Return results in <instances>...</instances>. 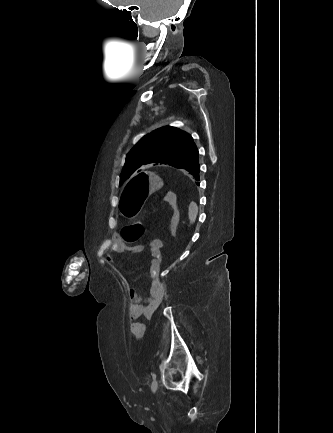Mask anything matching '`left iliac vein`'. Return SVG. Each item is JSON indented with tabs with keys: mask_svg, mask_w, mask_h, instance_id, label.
I'll use <instances>...</instances> for the list:
<instances>
[{
	"mask_svg": "<svg viewBox=\"0 0 333 433\" xmlns=\"http://www.w3.org/2000/svg\"><path fill=\"white\" fill-rule=\"evenodd\" d=\"M157 386H158V381L156 379H154L152 382V385H151V389L153 392H156Z\"/></svg>",
	"mask_w": 333,
	"mask_h": 433,
	"instance_id": "obj_1",
	"label": "left iliac vein"
}]
</instances>
